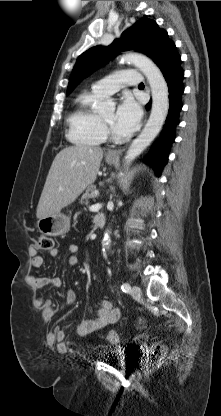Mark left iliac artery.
<instances>
[{"label":"left iliac artery","instance_id":"left-iliac-artery-1","mask_svg":"<svg viewBox=\"0 0 221 416\" xmlns=\"http://www.w3.org/2000/svg\"><path fill=\"white\" fill-rule=\"evenodd\" d=\"M123 292L128 293L131 290L129 283H123L121 286Z\"/></svg>","mask_w":221,"mask_h":416}]
</instances>
